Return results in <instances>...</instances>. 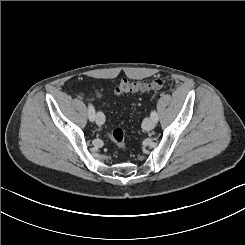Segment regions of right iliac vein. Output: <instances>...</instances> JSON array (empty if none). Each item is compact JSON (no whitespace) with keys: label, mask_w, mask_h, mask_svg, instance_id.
Listing matches in <instances>:
<instances>
[{"label":"right iliac vein","mask_w":245,"mask_h":245,"mask_svg":"<svg viewBox=\"0 0 245 245\" xmlns=\"http://www.w3.org/2000/svg\"><path fill=\"white\" fill-rule=\"evenodd\" d=\"M105 122V116L102 112H98L96 115V124L97 125H103Z\"/></svg>","instance_id":"right-iliac-vein-1"}]
</instances>
